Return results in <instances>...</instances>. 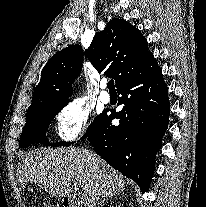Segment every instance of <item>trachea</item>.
I'll return each mask as SVG.
<instances>
[{"instance_id":"1","label":"trachea","mask_w":206,"mask_h":207,"mask_svg":"<svg viewBox=\"0 0 206 207\" xmlns=\"http://www.w3.org/2000/svg\"><path fill=\"white\" fill-rule=\"evenodd\" d=\"M107 87H108L109 91H115L114 81L110 80L107 84Z\"/></svg>"}]
</instances>
